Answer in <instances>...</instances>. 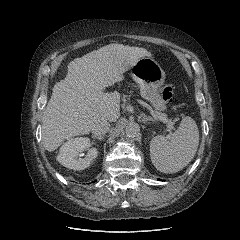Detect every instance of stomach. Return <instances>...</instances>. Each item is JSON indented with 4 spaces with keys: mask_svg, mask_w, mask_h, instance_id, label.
<instances>
[{
    "mask_svg": "<svg viewBox=\"0 0 240 240\" xmlns=\"http://www.w3.org/2000/svg\"><path fill=\"white\" fill-rule=\"evenodd\" d=\"M131 76L139 84L141 96L152 104L156 111L166 109L160 95L166 74L161 66L151 57H142L131 66Z\"/></svg>",
    "mask_w": 240,
    "mask_h": 240,
    "instance_id": "0dacf381",
    "label": "stomach"
}]
</instances>
